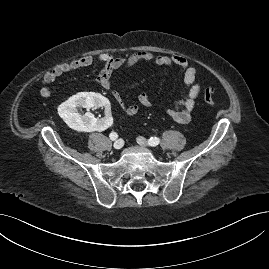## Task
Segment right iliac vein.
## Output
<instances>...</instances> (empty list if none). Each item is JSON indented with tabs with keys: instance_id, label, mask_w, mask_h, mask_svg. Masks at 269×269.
<instances>
[{
	"instance_id": "63e3f726",
	"label": "right iliac vein",
	"mask_w": 269,
	"mask_h": 269,
	"mask_svg": "<svg viewBox=\"0 0 269 269\" xmlns=\"http://www.w3.org/2000/svg\"><path fill=\"white\" fill-rule=\"evenodd\" d=\"M124 141L122 139H118L114 142L113 146L115 149L119 150L123 147Z\"/></svg>"
}]
</instances>
